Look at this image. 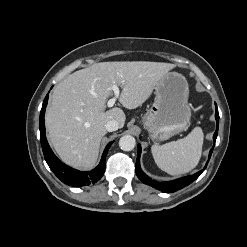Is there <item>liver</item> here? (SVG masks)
I'll return each instance as SVG.
<instances>
[{
    "mask_svg": "<svg viewBox=\"0 0 247 247\" xmlns=\"http://www.w3.org/2000/svg\"><path fill=\"white\" fill-rule=\"evenodd\" d=\"M174 67L148 61L100 62L61 81L52 93L45 116L49 141L60 159L75 168L91 169L107 133L105 124L116 120L122 128L126 119L121 108L105 111L111 86L122 88L118 99L123 107L135 109Z\"/></svg>",
    "mask_w": 247,
    "mask_h": 247,
    "instance_id": "obj_1",
    "label": "liver"
}]
</instances>
